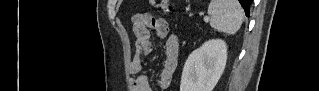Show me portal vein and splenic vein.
<instances>
[{
    "label": "portal vein and splenic vein",
    "instance_id": "obj_1",
    "mask_svg": "<svg viewBox=\"0 0 319 91\" xmlns=\"http://www.w3.org/2000/svg\"><path fill=\"white\" fill-rule=\"evenodd\" d=\"M204 20H205V22H208L209 18H205Z\"/></svg>",
    "mask_w": 319,
    "mask_h": 91
}]
</instances>
